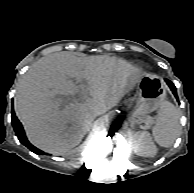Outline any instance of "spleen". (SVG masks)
Here are the masks:
<instances>
[{
    "instance_id": "spleen-1",
    "label": "spleen",
    "mask_w": 194,
    "mask_h": 193,
    "mask_svg": "<svg viewBox=\"0 0 194 193\" xmlns=\"http://www.w3.org/2000/svg\"><path fill=\"white\" fill-rule=\"evenodd\" d=\"M180 112L170 102L160 105L157 122L153 128L155 141L162 147H171L180 133Z\"/></svg>"
}]
</instances>
